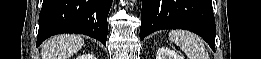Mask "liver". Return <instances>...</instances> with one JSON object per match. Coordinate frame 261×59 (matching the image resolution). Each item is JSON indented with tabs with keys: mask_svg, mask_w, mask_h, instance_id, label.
I'll return each mask as SVG.
<instances>
[{
	"mask_svg": "<svg viewBox=\"0 0 261 59\" xmlns=\"http://www.w3.org/2000/svg\"><path fill=\"white\" fill-rule=\"evenodd\" d=\"M84 39L79 35L64 34L53 36L42 44V59H68L79 51Z\"/></svg>",
	"mask_w": 261,
	"mask_h": 59,
	"instance_id": "obj_1",
	"label": "liver"
}]
</instances>
